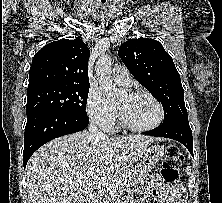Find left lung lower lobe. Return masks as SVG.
I'll list each match as a JSON object with an SVG mask.
<instances>
[{
	"label": "left lung lower lobe",
	"instance_id": "1",
	"mask_svg": "<svg viewBox=\"0 0 222 203\" xmlns=\"http://www.w3.org/2000/svg\"><path fill=\"white\" fill-rule=\"evenodd\" d=\"M142 134L171 138L181 142L187 147L193 156V138L189 122L185 120H173Z\"/></svg>",
	"mask_w": 222,
	"mask_h": 203
}]
</instances>
